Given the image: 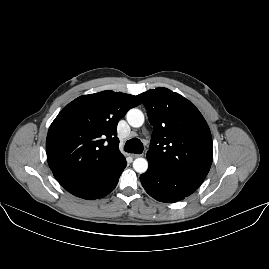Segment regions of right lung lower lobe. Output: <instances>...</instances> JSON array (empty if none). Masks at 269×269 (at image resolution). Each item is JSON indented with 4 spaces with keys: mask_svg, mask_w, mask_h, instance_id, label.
<instances>
[{
    "mask_svg": "<svg viewBox=\"0 0 269 269\" xmlns=\"http://www.w3.org/2000/svg\"><path fill=\"white\" fill-rule=\"evenodd\" d=\"M123 155L107 163L99 171H86L57 179L71 194L83 199H97L109 194L126 167Z\"/></svg>",
    "mask_w": 269,
    "mask_h": 269,
    "instance_id": "1",
    "label": "right lung lower lobe"
}]
</instances>
